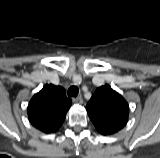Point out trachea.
Returning <instances> with one entry per match:
<instances>
[{
    "label": "trachea",
    "mask_w": 160,
    "mask_h": 158,
    "mask_svg": "<svg viewBox=\"0 0 160 158\" xmlns=\"http://www.w3.org/2000/svg\"><path fill=\"white\" fill-rule=\"evenodd\" d=\"M79 93V89L77 86H71L69 89H68V96H72V97H76Z\"/></svg>",
    "instance_id": "trachea-1"
}]
</instances>
